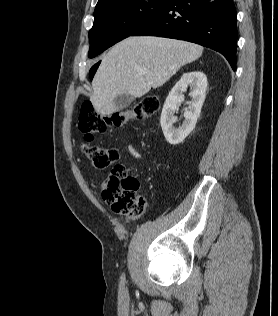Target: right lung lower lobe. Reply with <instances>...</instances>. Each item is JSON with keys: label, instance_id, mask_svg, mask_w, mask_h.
Here are the masks:
<instances>
[{"label": "right lung lower lobe", "instance_id": "1", "mask_svg": "<svg viewBox=\"0 0 278 316\" xmlns=\"http://www.w3.org/2000/svg\"><path fill=\"white\" fill-rule=\"evenodd\" d=\"M131 36L186 40L220 52L236 69L237 25L233 0H165Z\"/></svg>", "mask_w": 278, "mask_h": 316}]
</instances>
